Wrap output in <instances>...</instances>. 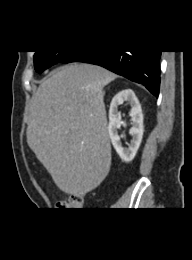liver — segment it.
<instances>
[{
	"label": "liver",
	"instance_id": "liver-1",
	"mask_svg": "<svg viewBox=\"0 0 192 260\" xmlns=\"http://www.w3.org/2000/svg\"><path fill=\"white\" fill-rule=\"evenodd\" d=\"M117 76L88 63L60 68L34 94L27 143L64 193L94 190L111 166L103 88Z\"/></svg>",
	"mask_w": 192,
	"mask_h": 260
}]
</instances>
